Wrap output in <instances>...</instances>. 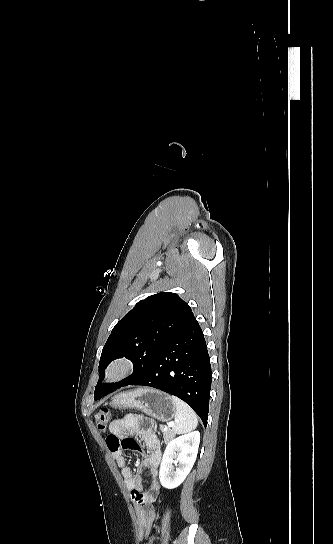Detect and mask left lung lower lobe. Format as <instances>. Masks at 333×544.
Listing matches in <instances>:
<instances>
[{
    "label": "left lung lower lobe",
    "mask_w": 333,
    "mask_h": 544,
    "mask_svg": "<svg viewBox=\"0 0 333 544\" xmlns=\"http://www.w3.org/2000/svg\"><path fill=\"white\" fill-rule=\"evenodd\" d=\"M211 378L204 335L191 312L163 344L146 370L127 385L150 386L177 396L191 406L206 427ZM105 395L100 393L95 400Z\"/></svg>",
    "instance_id": "left-lung-lower-lobe-1"
}]
</instances>
